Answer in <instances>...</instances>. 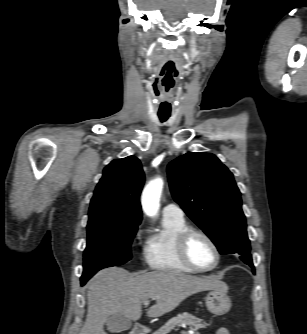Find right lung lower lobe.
<instances>
[{
  "instance_id": "obj_1",
  "label": "right lung lower lobe",
  "mask_w": 307,
  "mask_h": 334,
  "mask_svg": "<svg viewBox=\"0 0 307 334\" xmlns=\"http://www.w3.org/2000/svg\"><path fill=\"white\" fill-rule=\"evenodd\" d=\"M81 284L84 285L85 283L83 281H81Z\"/></svg>"
}]
</instances>
